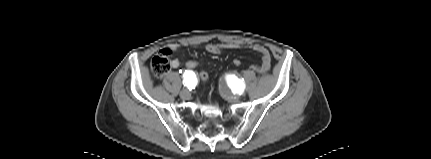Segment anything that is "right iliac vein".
<instances>
[{
    "instance_id": "right-iliac-vein-1",
    "label": "right iliac vein",
    "mask_w": 431,
    "mask_h": 159,
    "mask_svg": "<svg viewBox=\"0 0 431 159\" xmlns=\"http://www.w3.org/2000/svg\"><path fill=\"white\" fill-rule=\"evenodd\" d=\"M180 97L182 99H188L190 97V91L187 88H184L181 92H180Z\"/></svg>"
}]
</instances>
